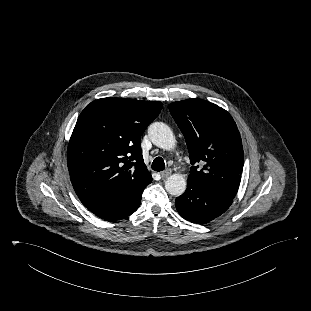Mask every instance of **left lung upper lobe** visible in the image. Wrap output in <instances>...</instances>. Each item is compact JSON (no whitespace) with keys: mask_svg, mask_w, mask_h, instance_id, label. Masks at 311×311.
<instances>
[{"mask_svg":"<svg viewBox=\"0 0 311 311\" xmlns=\"http://www.w3.org/2000/svg\"><path fill=\"white\" fill-rule=\"evenodd\" d=\"M169 110L190 154L193 166L188 179L234 199L241 181L243 148L231 115L201 99L173 102Z\"/></svg>","mask_w":311,"mask_h":311,"instance_id":"1","label":"left lung upper lobe"}]
</instances>
